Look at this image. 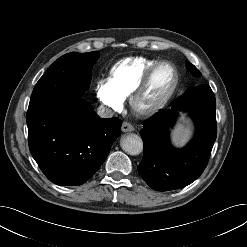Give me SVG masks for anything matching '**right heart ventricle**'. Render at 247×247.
<instances>
[{
    "label": "right heart ventricle",
    "mask_w": 247,
    "mask_h": 247,
    "mask_svg": "<svg viewBox=\"0 0 247 247\" xmlns=\"http://www.w3.org/2000/svg\"><path fill=\"white\" fill-rule=\"evenodd\" d=\"M156 59L143 56L128 57L117 62L111 69L109 81L114 90L126 99L140 80L144 72Z\"/></svg>",
    "instance_id": "obj_1"
}]
</instances>
